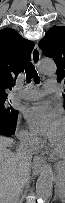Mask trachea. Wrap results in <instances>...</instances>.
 I'll return each mask as SVG.
<instances>
[{
  "label": "trachea",
  "mask_w": 65,
  "mask_h": 203,
  "mask_svg": "<svg viewBox=\"0 0 65 203\" xmlns=\"http://www.w3.org/2000/svg\"><path fill=\"white\" fill-rule=\"evenodd\" d=\"M25 73L28 81L34 79L37 83L39 82V77L33 64H29L25 67Z\"/></svg>",
  "instance_id": "trachea-1"
}]
</instances>
